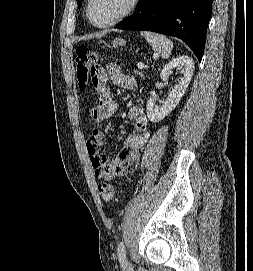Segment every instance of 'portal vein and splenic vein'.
Returning a JSON list of instances; mask_svg holds the SVG:
<instances>
[{
	"instance_id": "18ae733b",
	"label": "portal vein and splenic vein",
	"mask_w": 253,
	"mask_h": 271,
	"mask_svg": "<svg viewBox=\"0 0 253 271\" xmlns=\"http://www.w3.org/2000/svg\"><path fill=\"white\" fill-rule=\"evenodd\" d=\"M137 66H138V68H140V69H143V68L146 67L143 63H138Z\"/></svg>"
}]
</instances>
